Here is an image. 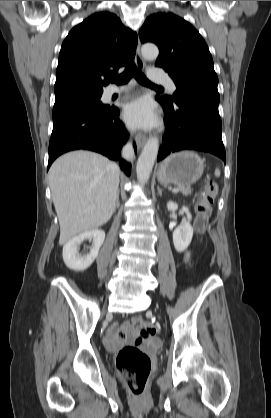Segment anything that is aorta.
Instances as JSON below:
<instances>
[{"label": "aorta", "mask_w": 271, "mask_h": 418, "mask_svg": "<svg viewBox=\"0 0 271 418\" xmlns=\"http://www.w3.org/2000/svg\"><path fill=\"white\" fill-rule=\"evenodd\" d=\"M142 56L145 59H156L159 54V50L154 44H145L141 48ZM159 151V141L156 137H151L146 142L136 165L137 179L141 184L148 182L152 168L157 159Z\"/></svg>", "instance_id": "obj_1"}]
</instances>
